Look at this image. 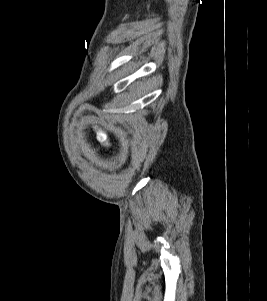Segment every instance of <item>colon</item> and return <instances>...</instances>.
Here are the masks:
<instances>
[{
  "instance_id": "1",
  "label": "colon",
  "mask_w": 267,
  "mask_h": 301,
  "mask_svg": "<svg viewBox=\"0 0 267 301\" xmlns=\"http://www.w3.org/2000/svg\"><path fill=\"white\" fill-rule=\"evenodd\" d=\"M99 139L102 140V141H104V140L106 139L105 134L100 133V134H99Z\"/></svg>"
}]
</instances>
